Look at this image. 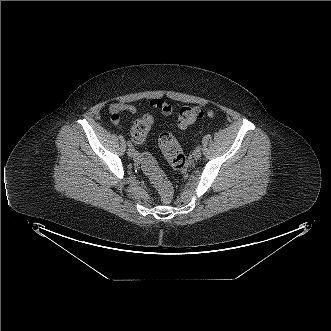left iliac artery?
I'll use <instances>...</instances> for the list:
<instances>
[{
    "mask_svg": "<svg viewBox=\"0 0 331 331\" xmlns=\"http://www.w3.org/2000/svg\"><path fill=\"white\" fill-rule=\"evenodd\" d=\"M201 148H202L201 145H198V146L196 147V149H199V150H200Z\"/></svg>",
    "mask_w": 331,
    "mask_h": 331,
    "instance_id": "44dca946",
    "label": "left iliac artery"
}]
</instances>
